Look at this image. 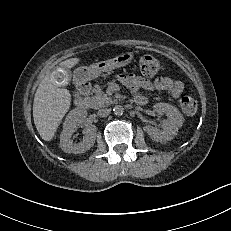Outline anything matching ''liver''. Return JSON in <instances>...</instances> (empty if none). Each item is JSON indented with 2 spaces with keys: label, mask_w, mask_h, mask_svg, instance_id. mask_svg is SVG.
Returning a JSON list of instances; mask_svg holds the SVG:
<instances>
[{
  "label": "liver",
  "mask_w": 231,
  "mask_h": 231,
  "mask_svg": "<svg viewBox=\"0 0 231 231\" xmlns=\"http://www.w3.org/2000/svg\"><path fill=\"white\" fill-rule=\"evenodd\" d=\"M79 58H70L61 62L63 68H72ZM69 90L54 85L52 75L45 76L40 82L34 97L33 119L41 138L50 141L70 108Z\"/></svg>",
  "instance_id": "liver-1"
}]
</instances>
